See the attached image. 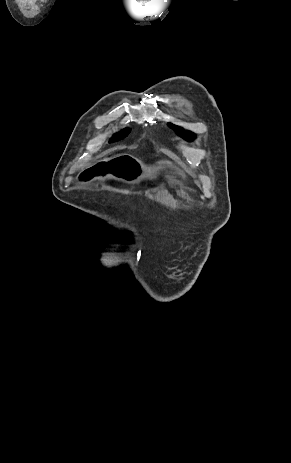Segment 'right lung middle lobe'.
<instances>
[{"label":"right lung middle lobe","instance_id":"1","mask_svg":"<svg viewBox=\"0 0 291 463\" xmlns=\"http://www.w3.org/2000/svg\"><path fill=\"white\" fill-rule=\"evenodd\" d=\"M129 132H130V129H128V128L122 130L120 133L115 134L112 137V139L110 140V142L120 140L121 138L127 136L129 134Z\"/></svg>","mask_w":291,"mask_h":463}]
</instances>
